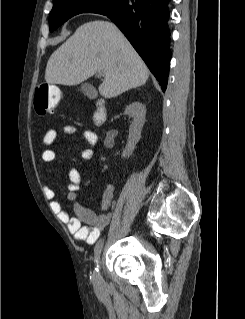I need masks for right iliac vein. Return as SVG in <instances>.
I'll list each match as a JSON object with an SVG mask.
<instances>
[{
  "instance_id": "right-iliac-vein-1",
  "label": "right iliac vein",
  "mask_w": 245,
  "mask_h": 319,
  "mask_svg": "<svg viewBox=\"0 0 245 319\" xmlns=\"http://www.w3.org/2000/svg\"><path fill=\"white\" fill-rule=\"evenodd\" d=\"M98 243L103 245L104 241L101 239V240L98 241ZM100 268H101V260H100V262H99V269H100Z\"/></svg>"
}]
</instances>
